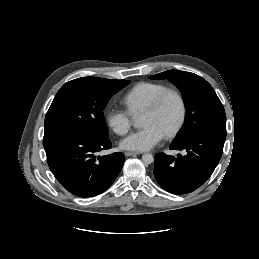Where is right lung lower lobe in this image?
<instances>
[{"instance_id":"right-lung-lower-lobe-1","label":"right lung lower lobe","mask_w":259,"mask_h":259,"mask_svg":"<svg viewBox=\"0 0 259 259\" xmlns=\"http://www.w3.org/2000/svg\"><path fill=\"white\" fill-rule=\"evenodd\" d=\"M43 146L55 178L80 197L96 196L108 189L125 160L120 152L97 156L111 148V141L79 130L44 133Z\"/></svg>"}]
</instances>
